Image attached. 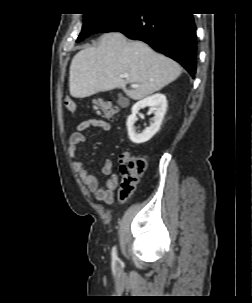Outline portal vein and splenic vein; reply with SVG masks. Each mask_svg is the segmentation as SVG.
<instances>
[{
    "mask_svg": "<svg viewBox=\"0 0 252 303\" xmlns=\"http://www.w3.org/2000/svg\"><path fill=\"white\" fill-rule=\"evenodd\" d=\"M120 77H122V78H127L128 77V75H121ZM132 87L133 88H136V87H138V85H136V84H132Z\"/></svg>",
    "mask_w": 252,
    "mask_h": 303,
    "instance_id": "1",
    "label": "portal vein and splenic vein"
}]
</instances>
